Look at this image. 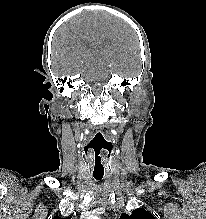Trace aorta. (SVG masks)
<instances>
[{
    "instance_id": "1",
    "label": "aorta",
    "mask_w": 206,
    "mask_h": 219,
    "mask_svg": "<svg viewBox=\"0 0 206 219\" xmlns=\"http://www.w3.org/2000/svg\"><path fill=\"white\" fill-rule=\"evenodd\" d=\"M89 219H100V218H98V217H91V218H89Z\"/></svg>"
}]
</instances>
